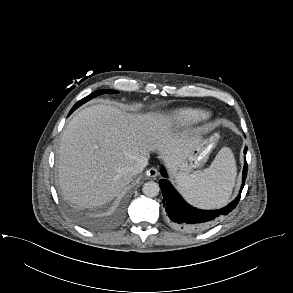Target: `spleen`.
Listing matches in <instances>:
<instances>
[{
  "label": "spleen",
  "mask_w": 293,
  "mask_h": 293,
  "mask_svg": "<svg viewBox=\"0 0 293 293\" xmlns=\"http://www.w3.org/2000/svg\"><path fill=\"white\" fill-rule=\"evenodd\" d=\"M236 174L234 155L229 148L223 147L203 172L177 177L178 189L194 206L204 209L222 207L229 201Z\"/></svg>",
  "instance_id": "1"
}]
</instances>
